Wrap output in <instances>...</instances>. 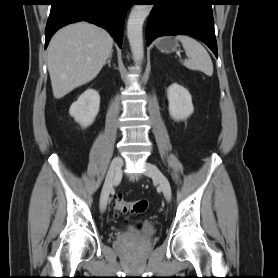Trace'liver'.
Masks as SVG:
<instances>
[{
    "instance_id": "6515ba94",
    "label": "liver",
    "mask_w": 278,
    "mask_h": 278,
    "mask_svg": "<svg viewBox=\"0 0 278 278\" xmlns=\"http://www.w3.org/2000/svg\"><path fill=\"white\" fill-rule=\"evenodd\" d=\"M110 34L88 22L60 29L48 47L47 66L53 95L60 99L94 79L112 54Z\"/></svg>"
}]
</instances>
